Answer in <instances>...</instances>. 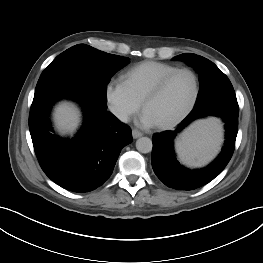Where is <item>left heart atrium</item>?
Instances as JSON below:
<instances>
[{
    "label": "left heart atrium",
    "mask_w": 263,
    "mask_h": 263,
    "mask_svg": "<svg viewBox=\"0 0 263 263\" xmlns=\"http://www.w3.org/2000/svg\"><path fill=\"white\" fill-rule=\"evenodd\" d=\"M139 122L143 127H152L157 125L154 119L146 111H144L141 115Z\"/></svg>",
    "instance_id": "39dd6f15"
}]
</instances>
